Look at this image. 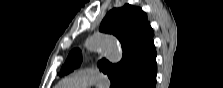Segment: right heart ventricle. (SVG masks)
<instances>
[{
	"mask_svg": "<svg viewBox=\"0 0 223 88\" xmlns=\"http://www.w3.org/2000/svg\"><path fill=\"white\" fill-rule=\"evenodd\" d=\"M55 88H62V87H60V86H57V87H55Z\"/></svg>",
	"mask_w": 223,
	"mask_h": 88,
	"instance_id": "1",
	"label": "right heart ventricle"
}]
</instances>
